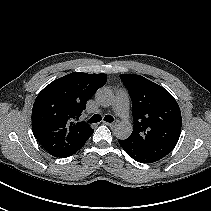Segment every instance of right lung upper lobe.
<instances>
[{
    "label": "right lung upper lobe",
    "instance_id": "obj_1",
    "mask_svg": "<svg viewBox=\"0 0 211 211\" xmlns=\"http://www.w3.org/2000/svg\"><path fill=\"white\" fill-rule=\"evenodd\" d=\"M107 81L106 74L73 72L47 85L32 109V131L42 147L54 157L76 151L94 130L79 117L86 102Z\"/></svg>",
    "mask_w": 211,
    "mask_h": 211
}]
</instances>
